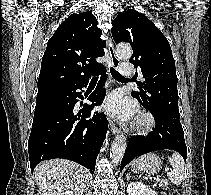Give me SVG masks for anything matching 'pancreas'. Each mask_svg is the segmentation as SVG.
Segmentation results:
<instances>
[{
    "mask_svg": "<svg viewBox=\"0 0 211 195\" xmlns=\"http://www.w3.org/2000/svg\"><path fill=\"white\" fill-rule=\"evenodd\" d=\"M159 187H161L162 189L167 190L168 189V182L166 181H162L159 183Z\"/></svg>",
    "mask_w": 211,
    "mask_h": 195,
    "instance_id": "1",
    "label": "pancreas"
}]
</instances>
